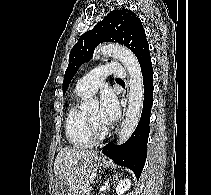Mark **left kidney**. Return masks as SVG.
Segmentation results:
<instances>
[{"instance_id": "1", "label": "left kidney", "mask_w": 211, "mask_h": 195, "mask_svg": "<svg viewBox=\"0 0 211 195\" xmlns=\"http://www.w3.org/2000/svg\"><path fill=\"white\" fill-rule=\"evenodd\" d=\"M130 186H131V181L129 178L120 180L116 187V193L118 195H123V193H125V191L130 189Z\"/></svg>"}]
</instances>
